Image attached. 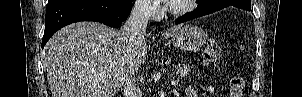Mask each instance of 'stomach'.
<instances>
[{
    "label": "stomach",
    "instance_id": "1",
    "mask_svg": "<svg viewBox=\"0 0 302 97\" xmlns=\"http://www.w3.org/2000/svg\"><path fill=\"white\" fill-rule=\"evenodd\" d=\"M206 39L203 29L195 25H185L176 33L172 43L180 50L196 52L204 45Z\"/></svg>",
    "mask_w": 302,
    "mask_h": 97
}]
</instances>
